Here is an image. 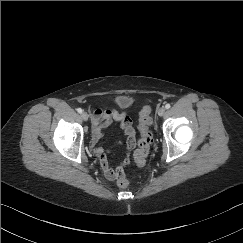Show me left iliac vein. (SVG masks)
<instances>
[{
	"label": "left iliac vein",
	"instance_id": "4c4485c4",
	"mask_svg": "<svg viewBox=\"0 0 243 243\" xmlns=\"http://www.w3.org/2000/svg\"><path fill=\"white\" fill-rule=\"evenodd\" d=\"M157 112H158L159 116H163L166 112V109L164 107H161V108L158 109Z\"/></svg>",
	"mask_w": 243,
	"mask_h": 243
}]
</instances>
